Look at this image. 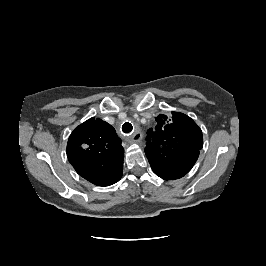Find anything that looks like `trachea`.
<instances>
[{
    "mask_svg": "<svg viewBox=\"0 0 266 266\" xmlns=\"http://www.w3.org/2000/svg\"><path fill=\"white\" fill-rule=\"evenodd\" d=\"M132 130H133V126L131 125V123L126 122V123L123 124L122 131L124 133H130Z\"/></svg>",
    "mask_w": 266,
    "mask_h": 266,
    "instance_id": "obj_1",
    "label": "trachea"
}]
</instances>
